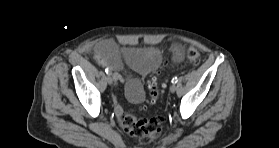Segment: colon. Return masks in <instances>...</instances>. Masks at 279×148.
<instances>
[{"instance_id": "colon-1", "label": "colon", "mask_w": 279, "mask_h": 148, "mask_svg": "<svg viewBox=\"0 0 279 148\" xmlns=\"http://www.w3.org/2000/svg\"><path fill=\"white\" fill-rule=\"evenodd\" d=\"M186 58L192 65L200 62V53L193 47L184 51ZM162 84L154 74L148 81V89L150 93L149 103L154 104L158 100L161 93ZM120 125L128 134L138 138L141 144H149L158 139L163 129V119L161 117L140 118L132 112L123 113L119 117Z\"/></svg>"}]
</instances>
